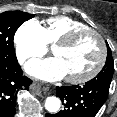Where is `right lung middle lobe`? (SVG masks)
Returning <instances> with one entry per match:
<instances>
[{"label": "right lung middle lobe", "mask_w": 117, "mask_h": 117, "mask_svg": "<svg viewBox=\"0 0 117 117\" xmlns=\"http://www.w3.org/2000/svg\"><path fill=\"white\" fill-rule=\"evenodd\" d=\"M34 17L22 11H6L0 14V63H16L13 38L18 27Z\"/></svg>", "instance_id": "obj_1"}]
</instances>
